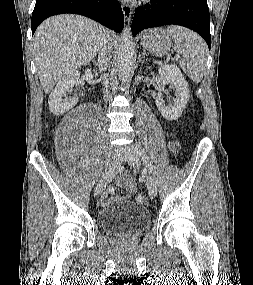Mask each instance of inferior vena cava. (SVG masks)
<instances>
[{
  "label": "inferior vena cava",
  "instance_id": "1",
  "mask_svg": "<svg viewBox=\"0 0 253 285\" xmlns=\"http://www.w3.org/2000/svg\"><path fill=\"white\" fill-rule=\"evenodd\" d=\"M106 29L103 28V35L101 38V44L99 48V55H98V66L100 67V70H106L108 60L110 59V53L112 50V46L106 36ZM105 86L107 88V82H105ZM107 92V90H106ZM108 96V93H107ZM106 97V95H104Z\"/></svg>",
  "mask_w": 253,
  "mask_h": 285
}]
</instances>
